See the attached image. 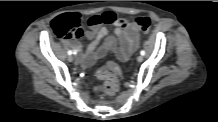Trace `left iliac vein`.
I'll use <instances>...</instances> for the list:
<instances>
[{
  "label": "left iliac vein",
  "instance_id": "obj_1",
  "mask_svg": "<svg viewBox=\"0 0 218 122\" xmlns=\"http://www.w3.org/2000/svg\"><path fill=\"white\" fill-rule=\"evenodd\" d=\"M137 61H138V62H142V61H143V56H142V55H139V56L137 57Z\"/></svg>",
  "mask_w": 218,
  "mask_h": 122
}]
</instances>
